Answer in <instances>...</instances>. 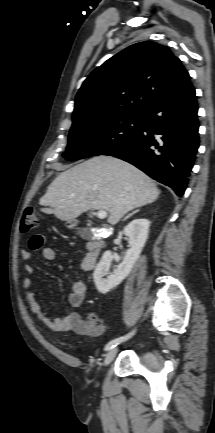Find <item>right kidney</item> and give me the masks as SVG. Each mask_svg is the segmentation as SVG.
Segmentation results:
<instances>
[{
	"label": "right kidney",
	"mask_w": 215,
	"mask_h": 433,
	"mask_svg": "<svg viewBox=\"0 0 215 433\" xmlns=\"http://www.w3.org/2000/svg\"><path fill=\"white\" fill-rule=\"evenodd\" d=\"M149 226V220L139 218L131 221L124 228L123 232L128 237L130 249L127 250L122 263L115 270L114 274L109 272L113 259L112 252L106 251L103 254L93 274L95 285L100 293L106 294L130 274L148 239ZM105 276L107 278H104Z\"/></svg>",
	"instance_id": "1"
}]
</instances>
